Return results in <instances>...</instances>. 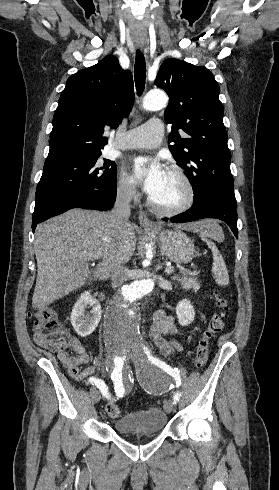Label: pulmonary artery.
I'll return each instance as SVG.
<instances>
[{"label":"pulmonary artery","instance_id":"obj_1","mask_svg":"<svg viewBox=\"0 0 279 490\" xmlns=\"http://www.w3.org/2000/svg\"><path fill=\"white\" fill-rule=\"evenodd\" d=\"M166 128V123L159 122L157 117H146L144 125L121 131L127 137H114V146H123V149L155 148L159 146Z\"/></svg>","mask_w":279,"mask_h":490}]
</instances>
